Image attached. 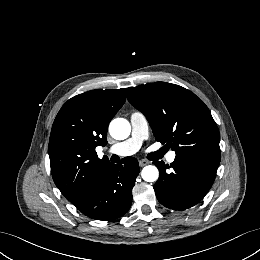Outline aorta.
<instances>
[{
	"instance_id": "762f6f07",
	"label": "aorta",
	"mask_w": 260,
	"mask_h": 260,
	"mask_svg": "<svg viewBox=\"0 0 260 260\" xmlns=\"http://www.w3.org/2000/svg\"><path fill=\"white\" fill-rule=\"evenodd\" d=\"M130 123L123 118L114 119L109 126L110 134L117 140H123L130 134ZM141 176L146 182H155L158 179L159 172L155 166H146L142 169Z\"/></svg>"
}]
</instances>
